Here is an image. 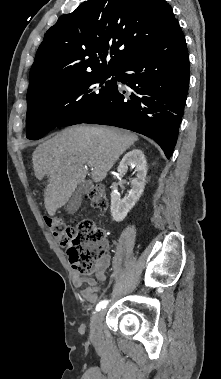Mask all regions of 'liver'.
Here are the masks:
<instances>
[{
    "label": "liver",
    "mask_w": 221,
    "mask_h": 379,
    "mask_svg": "<svg viewBox=\"0 0 221 379\" xmlns=\"http://www.w3.org/2000/svg\"><path fill=\"white\" fill-rule=\"evenodd\" d=\"M137 140L136 134L118 128L77 126L38 145L33 152V168L38 180L48 177L44 190L48 214L54 216L84 182L86 165L91 168L93 181L101 182Z\"/></svg>",
    "instance_id": "liver-1"
}]
</instances>
